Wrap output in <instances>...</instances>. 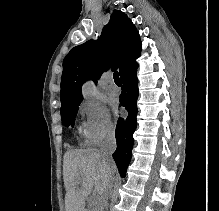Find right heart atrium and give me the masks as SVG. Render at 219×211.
Wrapping results in <instances>:
<instances>
[{
	"mask_svg": "<svg viewBox=\"0 0 219 211\" xmlns=\"http://www.w3.org/2000/svg\"><path fill=\"white\" fill-rule=\"evenodd\" d=\"M83 118L81 133L89 145L96 146L114 135V125L109 110L102 103L87 100L79 106Z\"/></svg>",
	"mask_w": 219,
	"mask_h": 211,
	"instance_id": "1",
	"label": "right heart atrium"
}]
</instances>
